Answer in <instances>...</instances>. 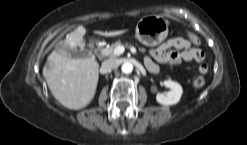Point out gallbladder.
<instances>
[{
	"mask_svg": "<svg viewBox=\"0 0 247 145\" xmlns=\"http://www.w3.org/2000/svg\"><path fill=\"white\" fill-rule=\"evenodd\" d=\"M64 48V42H58L56 44V51L60 52ZM67 53L72 57V58H87L90 56V52L86 49H76L73 47L67 48Z\"/></svg>",
	"mask_w": 247,
	"mask_h": 145,
	"instance_id": "gallbladder-1",
	"label": "gallbladder"
}]
</instances>
